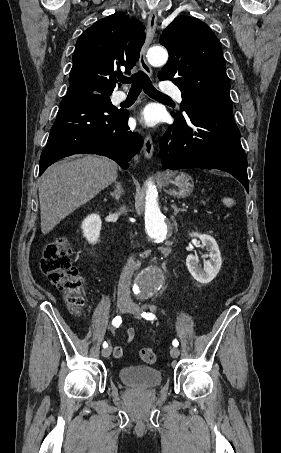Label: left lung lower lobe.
<instances>
[{
  "label": "left lung lower lobe",
  "instance_id": "1",
  "mask_svg": "<svg viewBox=\"0 0 281 453\" xmlns=\"http://www.w3.org/2000/svg\"><path fill=\"white\" fill-rule=\"evenodd\" d=\"M160 140L164 169L204 168L227 171L247 192V159L231 104L195 105L185 109Z\"/></svg>",
  "mask_w": 281,
  "mask_h": 453
}]
</instances>
